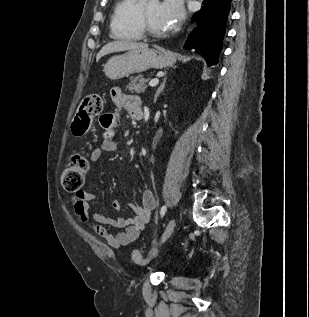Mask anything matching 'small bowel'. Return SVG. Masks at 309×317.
<instances>
[{"mask_svg":"<svg viewBox=\"0 0 309 317\" xmlns=\"http://www.w3.org/2000/svg\"><path fill=\"white\" fill-rule=\"evenodd\" d=\"M110 97L117 110L113 113L103 114L99 119L103 129V141L91 153L90 159L93 162L97 161L103 153L112 152L117 148L116 126L119 119V110L125 109L135 120L143 117L142 103L137 96L126 94L120 88H113L110 91ZM95 198V194L89 191L81 190L75 193L72 197L74 213L81 222L89 224L113 249L137 241L156 207V200L152 191L145 189L141 194L140 205L134 203L128 205L133 213L131 217H106L97 212L90 216L89 206ZM113 207L120 209L121 204L114 201ZM90 218L92 221H90ZM107 226L122 229V231L114 233Z\"/></svg>","mask_w":309,"mask_h":317,"instance_id":"c3829d8e","label":"small bowel"}]
</instances>
